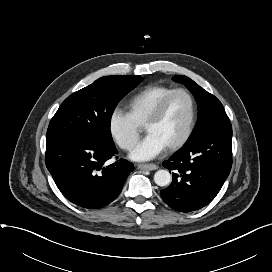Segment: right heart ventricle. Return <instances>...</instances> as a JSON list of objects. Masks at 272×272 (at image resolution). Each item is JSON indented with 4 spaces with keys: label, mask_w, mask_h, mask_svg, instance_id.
<instances>
[{
    "label": "right heart ventricle",
    "mask_w": 272,
    "mask_h": 272,
    "mask_svg": "<svg viewBox=\"0 0 272 272\" xmlns=\"http://www.w3.org/2000/svg\"><path fill=\"white\" fill-rule=\"evenodd\" d=\"M174 89L160 84L145 87L127 102V113L138 126H144L158 103Z\"/></svg>",
    "instance_id": "e07e8e85"
}]
</instances>
